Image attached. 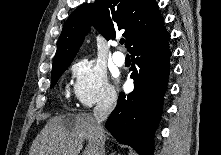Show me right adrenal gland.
Here are the masks:
<instances>
[{"mask_svg": "<svg viewBox=\"0 0 221 155\" xmlns=\"http://www.w3.org/2000/svg\"><path fill=\"white\" fill-rule=\"evenodd\" d=\"M105 154V153H104ZM110 155H116V152H112V153H110Z\"/></svg>", "mask_w": 221, "mask_h": 155, "instance_id": "right-adrenal-gland-1", "label": "right adrenal gland"}]
</instances>
